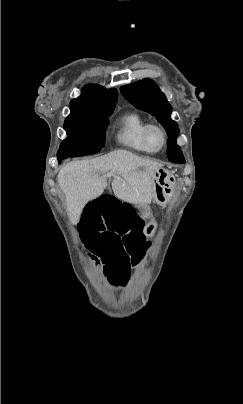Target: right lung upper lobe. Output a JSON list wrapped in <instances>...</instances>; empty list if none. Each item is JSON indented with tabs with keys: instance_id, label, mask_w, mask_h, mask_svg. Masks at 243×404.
Returning <instances> with one entry per match:
<instances>
[{
	"instance_id": "cb5924a9",
	"label": "right lung upper lobe",
	"mask_w": 243,
	"mask_h": 404,
	"mask_svg": "<svg viewBox=\"0 0 243 404\" xmlns=\"http://www.w3.org/2000/svg\"><path fill=\"white\" fill-rule=\"evenodd\" d=\"M117 95L115 89L89 84L82 89L78 98L71 100V114L94 113L115 107Z\"/></svg>"
}]
</instances>
